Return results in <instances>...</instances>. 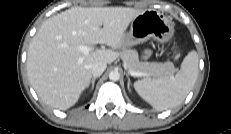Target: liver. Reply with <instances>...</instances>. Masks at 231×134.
Wrapping results in <instances>:
<instances>
[{
	"label": "liver",
	"instance_id": "obj_1",
	"mask_svg": "<svg viewBox=\"0 0 231 134\" xmlns=\"http://www.w3.org/2000/svg\"><path fill=\"white\" fill-rule=\"evenodd\" d=\"M143 11L126 7H72L47 19L32 38L27 53V74L39 98L66 110L89 86L91 65L111 64L124 47L130 22ZM103 25V27H101ZM105 44L83 54L78 46Z\"/></svg>",
	"mask_w": 231,
	"mask_h": 134
}]
</instances>
